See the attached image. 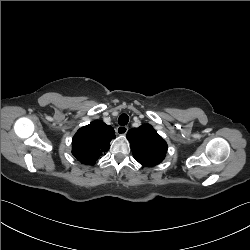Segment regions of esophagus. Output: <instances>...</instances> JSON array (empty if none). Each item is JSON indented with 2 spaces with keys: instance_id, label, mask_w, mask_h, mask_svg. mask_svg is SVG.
<instances>
[{
  "instance_id": "esophagus-1",
  "label": "esophagus",
  "mask_w": 250,
  "mask_h": 250,
  "mask_svg": "<svg viewBox=\"0 0 250 250\" xmlns=\"http://www.w3.org/2000/svg\"><path fill=\"white\" fill-rule=\"evenodd\" d=\"M116 131L119 135H125L128 131V127L127 126H118Z\"/></svg>"
}]
</instances>
